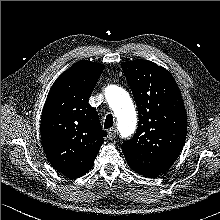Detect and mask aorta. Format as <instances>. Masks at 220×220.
Here are the masks:
<instances>
[{"instance_id": "762f6f07", "label": "aorta", "mask_w": 220, "mask_h": 220, "mask_svg": "<svg viewBox=\"0 0 220 220\" xmlns=\"http://www.w3.org/2000/svg\"><path fill=\"white\" fill-rule=\"evenodd\" d=\"M105 96L117 118L120 135L129 137L137 126V114L131 97L126 90L116 85L108 86Z\"/></svg>"}]
</instances>
